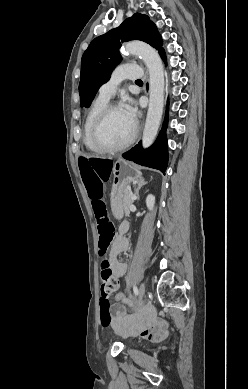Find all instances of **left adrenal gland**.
I'll return each instance as SVG.
<instances>
[{
	"instance_id": "obj_1",
	"label": "left adrenal gland",
	"mask_w": 248,
	"mask_h": 389,
	"mask_svg": "<svg viewBox=\"0 0 248 389\" xmlns=\"http://www.w3.org/2000/svg\"><path fill=\"white\" fill-rule=\"evenodd\" d=\"M145 184H147V182L144 181V179H140L138 181V187L135 189V195H136V198L138 199L139 197V190L141 189L142 186H144Z\"/></svg>"
}]
</instances>
